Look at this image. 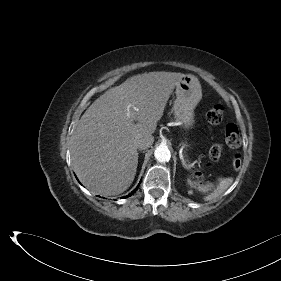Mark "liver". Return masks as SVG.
<instances>
[{
  "instance_id": "liver-1",
  "label": "liver",
  "mask_w": 281,
  "mask_h": 281,
  "mask_svg": "<svg viewBox=\"0 0 281 281\" xmlns=\"http://www.w3.org/2000/svg\"><path fill=\"white\" fill-rule=\"evenodd\" d=\"M183 77L165 71L138 74L110 88L88 107L70 145L73 170L83 185L107 196L130 187L138 165L137 140L155 132Z\"/></svg>"
}]
</instances>
